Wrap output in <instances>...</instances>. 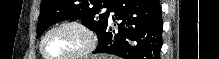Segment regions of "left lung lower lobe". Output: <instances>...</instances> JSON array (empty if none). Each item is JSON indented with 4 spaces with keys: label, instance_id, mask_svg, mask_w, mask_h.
<instances>
[{
    "label": "left lung lower lobe",
    "instance_id": "left-lung-lower-lobe-1",
    "mask_svg": "<svg viewBox=\"0 0 219 59\" xmlns=\"http://www.w3.org/2000/svg\"><path fill=\"white\" fill-rule=\"evenodd\" d=\"M98 46L93 53L123 59H159L162 47V12L158 0H114ZM121 21L113 30L112 21Z\"/></svg>",
    "mask_w": 219,
    "mask_h": 59
}]
</instances>
